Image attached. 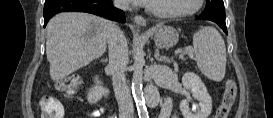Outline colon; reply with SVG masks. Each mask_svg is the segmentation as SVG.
Returning a JSON list of instances; mask_svg holds the SVG:
<instances>
[{
    "mask_svg": "<svg viewBox=\"0 0 273 118\" xmlns=\"http://www.w3.org/2000/svg\"><path fill=\"white\" fill-rule=\"evenodd\" d=\"M80 81L68 80L64 87L72 93L79 85ZM237 87L233 80H227L222 101L216 111L214 118H227L236 99ZM40 110L43 118H61L64 113L63 102L54 96H43L40 100Z\"/></svg>",
    "mask_w": 273,
    "mask_h": 118,
    "instance_id": "5ec220e1",
    "label": "colon"
}]
</instances>
